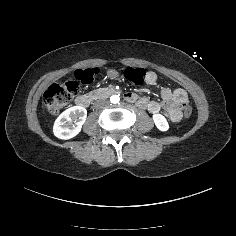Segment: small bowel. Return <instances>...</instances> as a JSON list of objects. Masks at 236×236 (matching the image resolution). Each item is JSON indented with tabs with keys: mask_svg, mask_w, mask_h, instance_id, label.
Listing matches in <instances>:
<instances>
[{
	"mask_svg": "<svg viewBox=\"0 0 236 236\" xmlns=\"http://www.w3.org/2000/svg\"><path fill=\"white\" fill-rule=\"evenodd\" d=\"M153 77H155V75H151L148 78L147 82L149 84H153L154 83ZM167 94H169V92L168 91H164V95H167ZM173 96H176L177 99H178L179 116H178L177 119H179V117L181 116L180 109L183 108L184 104L187 101V93L184 90L177 89V90L174 91V95Z\"/></svg>",
	"mask_w": 236,
	"mask_h": 236,
	"instance_id": "c3829d8e",
	"label": "small bowel"
}]
</instances>
